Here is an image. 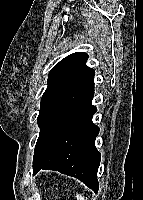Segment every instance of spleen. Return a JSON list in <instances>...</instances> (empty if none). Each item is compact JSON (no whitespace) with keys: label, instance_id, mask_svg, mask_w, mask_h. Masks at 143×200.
<instances>
[{"label":"spleen","instance_id":"3e777b00","mask_svg":"<svg viewBox=\"0 0 143 200\" xmlns=\"http://www.w3.org/2000/svg\"><path fill=\"white\" fill-rule=\"evenodd\" d=\"M76 197H77V200H88L87 198L84 197L83 194H80V193H77Z\"/></svg>","mask_w":143,"mask_h":200}]
</instances>
